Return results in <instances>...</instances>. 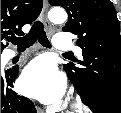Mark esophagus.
I'll use <instances>...</instances> for the list:
<instances>
[{
	"label": "esophagus",
	"instance_id": "esophagus-1",
	"mask_svg": "<svg viewBox=\"0 0 121 113\" xmlns=\"http://www.w3.org/2000/svg\"><path fill=\"white\" fill-rule=\"evenodd\" d=\"M48 9H49L48 0H44L43 1V8H42V11H41V18H42L44 24L46 25V27H50V24H49V21H48V18H47Z\"/></svg>",
	"mask_w": 121,
	"mask_h": 113
}]
</instances>
